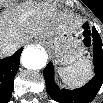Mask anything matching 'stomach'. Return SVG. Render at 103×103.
<instances>
[{"label": "stomach", "mask_w": 103, "mask_h": 103, "mask_svg": "<svg viewBox=\"0 0 103 103\" xmlns=\"http://www.w3.org/2000/svg\"><path fill=\"white\" fill-rule=\"evenodd\" d=\"M82 27L64 30L54 36L44 37L43 43L49 48L60 65H73L86 52V35Z\"/></svg>", "instance_id": "stomach-1"}]
</instances>
